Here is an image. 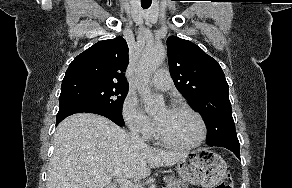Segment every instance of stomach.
<instances>
[{
	"mask_svg": "<svg viewBox=\"0 0 292 188\" xmlns=\"http://www.w3.org/2000/svg\"><path fill=\"white\" fill-rule=\"evenodd\" d=\"M177 171L185 182L212 188L226 175L227 164L216 152L201 148L185 153L177 163Z\"/></svg>",
	"mask_w": 292,
	"mask_h": 188,
	"instance_id": "stomach-1",
	"label": "stomach"
}]
</instances>
